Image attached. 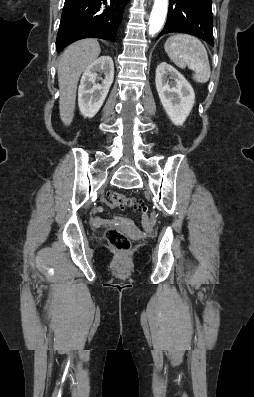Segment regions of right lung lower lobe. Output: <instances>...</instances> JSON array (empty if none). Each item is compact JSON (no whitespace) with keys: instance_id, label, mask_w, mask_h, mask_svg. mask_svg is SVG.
<instances>
[{"instance_id":"obj_1","label":"right lung lower lobe","mask_w":254,"mask_h":397,"mask_svg":"<svg viewBox=\"0 0 254 397\" xmlns=\"http://www.w3.org/2000/svg\"><path fill=\"white\" fill-rule=\"evenodd\" d=\"M130 0H65L56 50L83 38H100L115 42L124 7Z\"/></svg>"}]
</instances>
